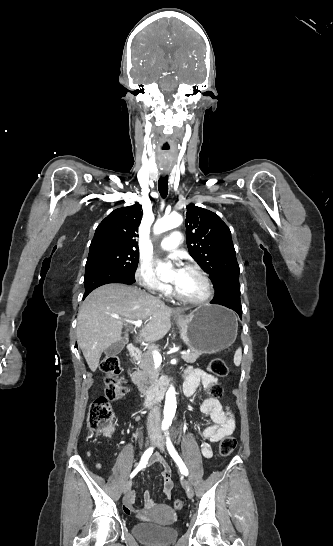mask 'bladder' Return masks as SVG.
<instances>
[{"label": "bladder", "instance_id": "31cf9c89", "mask_svg": "<svg viewBox=\"0 0 333 546\" xmlns=\"http://www.w3.org/2000/svg\"><path fill=\"white\" fill-rule=\"evenodd\" d=\"M133 535L140 541L165 545L177 537V530L174 527L160 526L154 523H138L132 527Z\"/></svg>", "mask_w": 333, "mask_h": 546}]
</instances>
